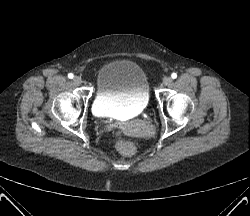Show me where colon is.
Returning a JSON list of instances; mask_svg holds the SVG:
<instances>
[{
    "instance_id": "5ec220e1",
    "label": "colon",
    "mask_w": 250,
    "mask_h": 216,
    "mask_svg": "<svg viewBox=\"0 0 250 216\" xmlns=\"http://www.w3.org/2000/svg\"><path fill=\"white\" fill-rule=\"evenodd\" d=\"M116 134H117V141H116L117 150L124 155H133L136 152L135 143L125 139L122 136L121 131L119 129L116 131Z\"/></svg>"
}]
</instances>
